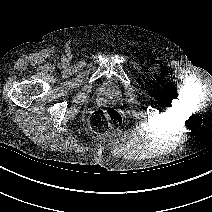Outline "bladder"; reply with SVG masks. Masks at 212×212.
<instances>
[{
    "label": "bladder",
    "mask_w": 212,
    "mask_h": 212,
    "mask_svg": "<svg viewBox=\"0 0 212 212\" xmlns=\"http://www.w3.org/2000/svg\"><path fill=\"white\" fill-rule=\"evenodd\" d=\"M98 96L107 97L111 99H118L121 97V91L118 86L114 84H103L97 91Z\"/></svg>",
    "instance_id": "obj_1"
}]
</instances>
